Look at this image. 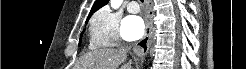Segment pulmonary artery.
Instances as JSON below:
<instances>
[{
  "label": "pulmonary artery",
  "mask_w": 246,
  "mask_h": 69,
  "mask_svg": "<svg viewBox=\"0 0 246 69\" xmlns=\"http://www.w3.org/2000/svg\"><path fill=\"white\" fill-rule=\"evenodd\" d=\"M127 10L130 13H137L139 11L138 4L136 2H130L127 6Z\"/></svg>",
  "instance_id": "1"
}]
</instances>
